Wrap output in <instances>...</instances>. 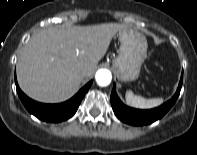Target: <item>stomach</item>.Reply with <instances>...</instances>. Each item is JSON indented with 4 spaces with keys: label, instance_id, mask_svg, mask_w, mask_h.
I'll return each mask as SVG.
<instances>
[{
    "label": "stomach",
    "instance_id": "0dacf381",
    "mask_svg": "<svg viewBox=\"0 0 197 155\" xmlns=\"http://www.w3.org/2000/svg\"><path fill=\"white\" fill-rule=\"evenodd\" d=\"M121 43L118 56L113 60V69L120 81H134L139 77L147 56V40L141 33L124 29L118 32Z\"/></svg>",
    "mask_w": 197,
    "mask_h": 155
}]
</instances>
